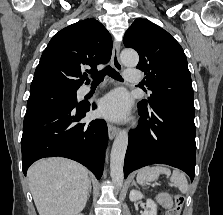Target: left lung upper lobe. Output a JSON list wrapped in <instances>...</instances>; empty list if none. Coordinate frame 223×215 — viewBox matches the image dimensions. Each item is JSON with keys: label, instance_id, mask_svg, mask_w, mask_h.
<instances>
[{"label": "left lung upper lobe", "instance_id": "5c2ea615", "mask_svg": "<svg viewBox=\"0 0 223 215\" xmlns=\"http://www.w3.org/2000/svg\"><path fill=\"white\" fill-rule=\"evenodd\" d=\"M124 45L138 52L137 68L145 72L146 86L152 91L138 105H164L195 112L186 55L167 31L147 19H136L125 33Z\"/></svg>", "mask_w": 223, "mask_h": 215}]
</instances>
